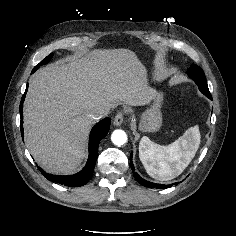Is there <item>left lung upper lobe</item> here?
<instances>
[{"label":"left lung upper lobe","mask_w":236,"mask_h":236,"mask_svg":"<svg viewBox=\"0 0 236 236\" xmlns=\"http://www.w3.org/2000/svg\"><path fill=\"white\" fill-rule=\"evenodd\" d=\"M188 76L195 81L199 90L207 97L211 96L203 70L197 65H191L187 70Z\"/></svg>","instance_id":"1"}]
</instances>
